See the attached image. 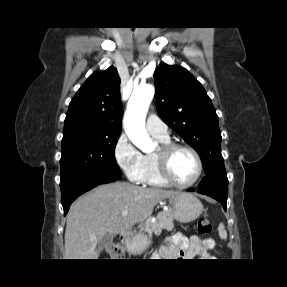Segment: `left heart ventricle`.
Instances as JSON below:
<instances>
[{
  "mask_svg": "<svg viewBox=\"0 0 287 287\" xmlns=\"http://www.w3.org/2000/svg\"><path fill=\"white\" fill-rule=\"evenodd\" d=\"M173 177L181 183L192 181L198 172V165L192 153L186 150L176 151L170 159Z\"/></svg>",
  "mask_w": 287,
  "mask_h": 287,
  "instance_id": "left-heart-ventricle-1",
  "label": "left heart ventricle"
}]
</instances>
